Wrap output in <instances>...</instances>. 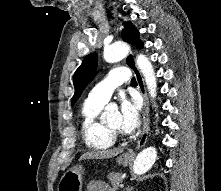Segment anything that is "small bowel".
<instances>
[{
    "instance_id": "1",
    "label": "small bowel",
    "mask_w": 221,
    "mask_h": 191,
    "mask_svg": "<svg viewBox=\"0 0 221 191\" xmlns=\"http://www.w3.org/2000/svg\"><path fill=\"white\" fill-rule=\"evenodd\" d=\"M87 191H114V190L103 180L93 179L88 182Z\"/></svg>"
}]
</instances>
